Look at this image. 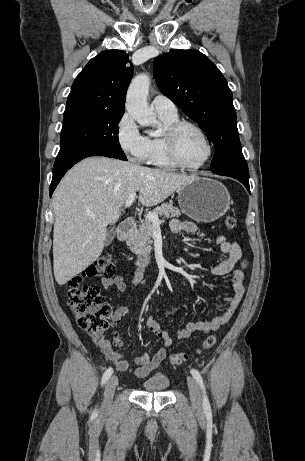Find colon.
Segmentation results:
<instances>
[{"label": "colon", "instance_id": "5ec220e1", "mask_svg": "<svg viewBox=\"0 0 305 461\" xmlns=\"http://www.w3.org/2000/svg\"><path fill=\"white\" fill-rule=\"evenodd\" d=\"M225 226L234 229L237 220L233 216L225 218ZM115 267L109 255L100 256L83 275H77L69 280L67 291L68 305L73 311L79 326L92 335L102 334L108 328V318L112 314L111 306L106 302L99 288L94 285H83L84 277L108 278L114 274ZM216 344L214 336L207 337L202 343V349H211ZM171 365H181L189 359L186 353L170 355Z\"/></svg>", "mask_w": 305, "mask_h": 461}]
</instances>
